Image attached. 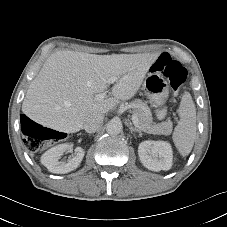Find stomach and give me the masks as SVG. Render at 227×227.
Returning a JSON list of instances; mask_svg holds the SVG:
<instances>
[{
    "label": "stomach",
    "mask_w": 227,
    "mask_h": 227,
    "mask_svg": "<svg viewBox=\"0 0 227 227\" xmlns=\"http://www.w3.org/2000/svg\"><path fill=\"white\" fill-rule=\"evenodd\" d=\"M142 89L154 106H162L169 95V86L161 74L150 72L146 76Z\"/></svg>",
    "instance_id": "1"
}]
</instances>
